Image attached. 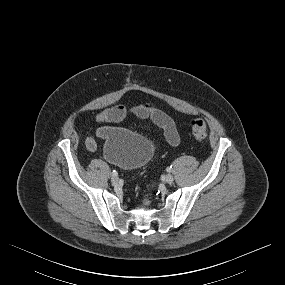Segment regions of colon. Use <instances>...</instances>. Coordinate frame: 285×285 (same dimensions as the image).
Returning a JSON list of instances; mask_svg holds the SVG:
<instances>
[{"label":"colon","instance_id":"colon-1","mask_svg":"<svg viewBox=\"0 0 285 285\" xmlns=\"http://www.w3.org/2000/svg\"><path fill=\"white\" fill-rule=\"evenodd\" d=\"M191 129L194 138L197 141H203L207 136V125L203 119L197 118L191 121ZM145 203H149V199H145Z\"/></svg>","mask_w":285,"mask_h":285}]
</instances>
